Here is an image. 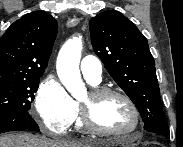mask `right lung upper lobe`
<instances>
[{
	"instance_id": "cb5924a9",
	"label": "right lung upper lobe",
	"mask_w": 183,
	"mask_h": 147,
	"mask_svg": "<svg viewBox=\"0 0 183 147\" xmlns=\"http://www.w3.org/2000/svg\"><path fill=\"white\" fill-rule=\"evenodd\" d=\"M56 34L55 18L43 11L15 21L0 39V81L41 77Z\"/></svg>"
}]
</instances>
